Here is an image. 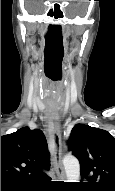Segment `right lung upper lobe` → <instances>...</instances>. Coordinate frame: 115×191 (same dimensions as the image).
I'll use <instances>...</instances> for the list:
<instances>
[{
    "mask_svg": "<svg viewBox=\"0 0 115 191\" xmlns=\"http://www.w3.org/2000/svg\"><path fill=\"white\" fill-rule=\"evenodd\" d=\"M47 141L39 129L23 127L1 136V186L22 187L49 178Z\"/></svg>",
    "mask_w": 115,
    "mask_h": 191,
    "instance_id": "1",
    "label": "right lung upper lobe"
}]
</instances>
